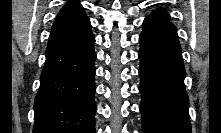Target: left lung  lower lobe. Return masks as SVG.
<instances>
[{"instance_id": "0a47b994", "label": "left lung lower lobe", "mask_w": 221, "mask_h": 133, "mask_svg": "<svg viewBox=\"0 0 221 133\" xmlns=\"http://www.w3.org/2000/svg\"><path fill=\"white\" fill-rule=\"evenodd\" d=\"M139 42L144 133H191L186 73L175 26L167 19L146 17Z\"/></svg>"}]
</instances>
